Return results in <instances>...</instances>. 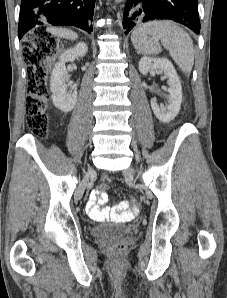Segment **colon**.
<instances>
[{"instance_id": "colon-1", "label": "colon", "mask_w": 227, "mask_h": 298, "mask_svg": "<svg viewBox=\"0 0 227 298\" xmlns=\"http://www.w3.org/2000/svg\"><path fill=\"white\" fill-rule=\"evenodd\" d=\"M41 35L40 39L30 40L23 47V56L28 63L27 72V92L26 101V124L28 128L39 138L47 137V101L49 99V89L47 86V73L43 65L44 57L49 53V48L53 45V41L41 30H37ZM106 180L98 186V191L110 190L111 186ZM133 207H141V202H136L137 197L131 196ZM124 244L116 243L110 246V251L113 254L119 255L125 251Z\"/></svg>"}]
</instances>
